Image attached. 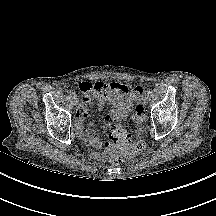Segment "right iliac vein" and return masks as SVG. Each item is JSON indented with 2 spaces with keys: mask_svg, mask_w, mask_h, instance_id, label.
Instances as JSON below:
<instances>
[{
  "mask_svg": "<svg viewBox=\"0 0 216 216\" xmlns=\"http://www.w3.org/2000/svg\"><path fill=\"white\" fill-rule=\"evenodd\" d=\"M73 104L76 105V106L79 104V101H78V99L76 97L73 98Z\"/></svg>",
  "mask_w": 216,
  "mask_h": 216,
  "instance_id": "obj_1",
  "label": "right iliac vein"
}]
</instances>
